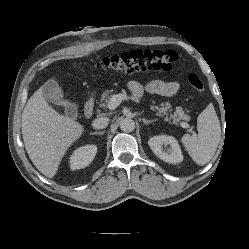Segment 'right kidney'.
<instances>
[{
  "instance_id": "1",
  "label": "right kidney",
  "mask_w": 249,
  "mask_h": 249,
  "mask_svg": "<svg viewBox=\"0 0 249 249\" xmlns=\"http://www.w3.org/2000/svg\"><path fill=\"white\" fill-rule=\"evenodd\" d=\"M96 153V145H85L77 148L70 156V168L76 170L87 167L95 158Z\"/></svg>"
}]
</instances>
